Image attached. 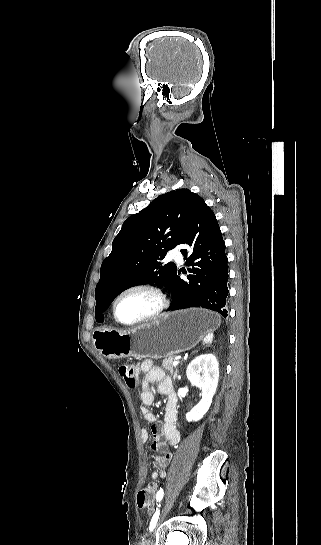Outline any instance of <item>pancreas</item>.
<instances>
[{
	"instance_id": "1",
	"label": "pancreas",
	"mask_w": 321,
	"mask_h": 545,
	"mask_svg": "<svg viewBox=\"0 0 321 545\" xmlns=\"http://www.w3.org/2000/svg\"><path fill=\"white\" fill-rule=\"evenodd\" d=\"M174 361H176V359H173V357H170V359H164L162 363L163 369H165V371H169V373L173 375V379H175L176 371H177V365H173Z\"/></svg>"
}]
</instances>
